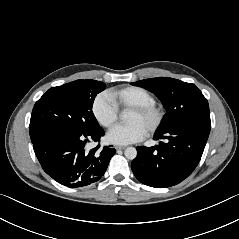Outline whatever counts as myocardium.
<instances>
[{"mask_svg":"<svg viewBox=\"0 0 239 239\" xmlns=\"http://www.w3.org/2000/svg\"><path fill=\"white\" fill-rule=\"evenodd\" d=\"M131 110L140 114L150 116L152 118V123L147 130L148 133H154L155 131H157L164 119V113L162 109L155 104L135 106L131 108Z\"/></svg>","mask_w":239,"mask_h":239,"instance_id":"obj_1","label":"myocardium"}]
</instances>
